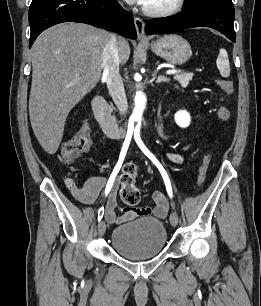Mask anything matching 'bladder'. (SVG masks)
<instances>
[{
  "mask_svg": "<svg viewBox=\"0 0 261 306\" xmlns=\"http://www.w3.org/2000/svg\"><path fill=\"white\" fill-rule=\"evenodd\" d=\"M167 231L164 223L153 217H142L115 227L111 246L121 257L144 260L156 257L165 248Z\"/></svg>",
  "mask_w": 261,
  "mask_h": 306,
  "instance_id": "obj_1",
  "label": "bladder"
}]
</instances>
